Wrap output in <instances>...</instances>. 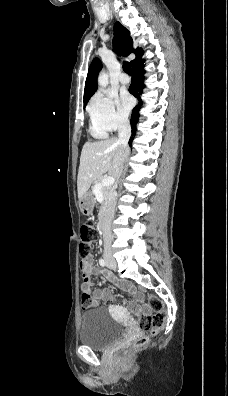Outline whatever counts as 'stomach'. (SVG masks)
Returning <instances> with one entry per match:
<instances>
[{
    "label": "stomach",
    "mask_w": 228,
    "mask_h": 396,
    "mask_svg": "<svg viewBox=\"0 0 228 396\" xmlns=\"http://www.w3.org/2000/svg\"><path fill=\"white\" fill-rule=\"evenodd\" d=\"M95 205V198L92 192H86L80 199H79V207L81 213L85 216H89L94 208Z\"/></svg>",
    "instance_id": "stomach-1"
}]
</instances>
